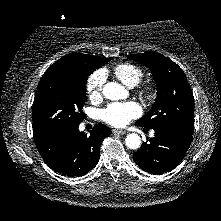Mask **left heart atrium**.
I'll list each match as a JSON object with an SVG mask.
<instances>
[{"label":"left heart atrium","mask_w":221,"mask_h":221,"mask_svg":"<svg viewBox=\"0 0 221 221\" xmlns=\"http://www.w3.org/2000/svg\"><path fill=\"white\" fill-rule=\"evenodd\" d=\"M141 107L134 101L113 102L100 112L101 120L114 127H123L132 119L139 117Z\"/></svg>","instance_id":"1"}]
</instances>
